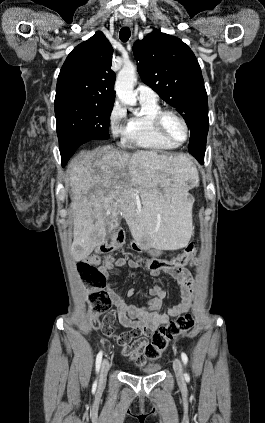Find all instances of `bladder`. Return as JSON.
<instances>
[{"label": "bladder", "instance_id": "bladder-1", "mask_svg": "<svg viewBox=\"0 0 265 423\" xmlns=\"http://www.w3.org/2000/svg\"><path fill=\"white\" fill-rule=\"evenodd\" d=\"M160 367L161 366L159 364L151 365V366H148V367L140 370V373L145 374V375H152V374L157 373L160 370Z\"/></svg>", "mask_w": 265, "mask_h": 423}]
</instances>
